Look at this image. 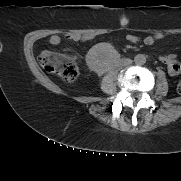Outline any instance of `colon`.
I'll return each mask as SVG.
<instances>
[{
    "label": "colon",
    "instance_id": "obj_1",
    "mask_svg": "<svg viewBox=\"0 0 181 181\" xmlns=\"http://www.w3.org/2000/svg\"><path fill=\"white\" fill-rule=\"evenodd\" d=\"M39 62L45 71L59 76L67 83H74L78 79V66L62 54L44 51L40 54ZM178 91L181 94V81L178 84Z\"/></svg>",
    "mask_w": 181,
    "mask_h": 181
}]
</instances>
